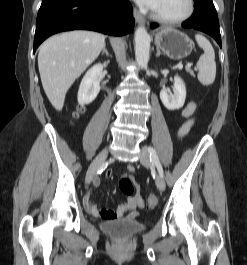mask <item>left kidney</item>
I'll list each match as a JSON object with an SVG mask.
<instances>
[{
	"label": "left kidney",
	"mask_w": 247,
	"mask_h": 265,
	"mask_svg": "<svg viewBox=\"0 0 247 265\" xmlns=\"http://www.w3.org/2000/svg\"><path fill=\"white\" fill-rule=\"evenodd\" d=\"M173 90L174 94H169L166 89L160 91V99L163 105L170 111L182 108L185 103L186 87L178 76L174 77Z\"/></svg>",
	"instance_id": "5707ae66"
}]
</instances>
